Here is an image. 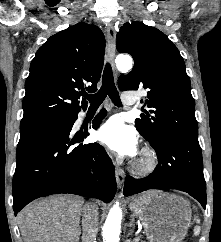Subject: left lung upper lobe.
<instances>
[{"label":"left lung upper lobe","mask_w":221,"mask_h":242,"mask_svg":"<svg viewBox=\"0 0 221 242\" xmlns=\"http://www.w3.org/2000/svg\"><path fill=\"white\" fill-rule=\"evenodd\" d=\"M119 52L134 59L133 70L118 80L121 90L149 89L150 109L135 120L139 133L155 143L164 133L198 136L195 101L185 64L177 47L158 29L141 22L124 24L117 35Z\"/></svg>","instance_id":"left-lung-upper-lobe-1"}]
</instances>
